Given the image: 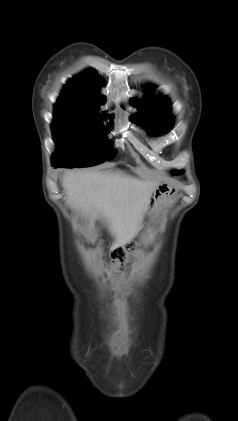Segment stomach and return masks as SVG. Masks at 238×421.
Listing matches in <instances>:
<instances>
[{
	"mask_svg": "<svg viewBox=\"0 0 238 421\" xmlns=\"http://www.w3.org/2000/svg\"><path fill=\"white\" fill-rule=\"evenodd\" d=\"M172 192V187L166 184H159L153 191L149 203L146 208V212L153 210L155 205L160 202L166 195H169Z\"/></svg>",
	"mask_w": 238,
	"mask_h": 421,
	"instance_id": "1",
	"label": "stomach"
}]
</instances>
